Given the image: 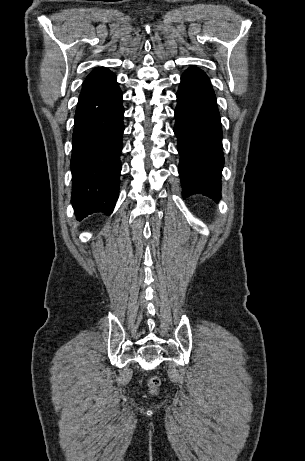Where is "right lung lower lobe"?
I'll return each instance as SVG.
<instances>
[{
  "label": "right lung lower lobe",
  "instance_id": "right-lung-lower-lobe-1",
  "mask_svg": "<svg viewBox=\"0 0 305 461\" xmlns=\"http://www.w3.org/2000/svg\"><path fill=\"white\" fill-rule=\"evenodd\" d=\"M123 115L122 92L115 74L86 78L72 136V203L77 210L110 215L114 209L121 171Z\"/></svg>",
  "mask_w": 305,
  "mask_h": 461
}]
</instances>
